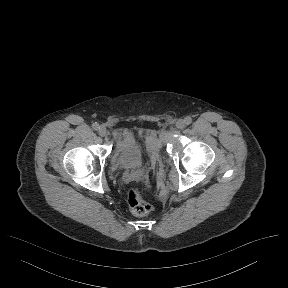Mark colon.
Returning <instances> with one entry per match:
<instances>
[{"mask_svg":"<svg viewBox=\"0 0 288 288\" xmlns=\"http://www.w3.org/2000/svg\"><path fill=\"white\" fill-rule=\"evenodd\" d=\"M127 204L130 210L138 216L147 215L151 211L150 204L143 198L142 192L138 188L129 189Z\"/></svg>","mask_w":288,"mask_h":288,"instance_id":"obj_1","label":"colon"}]
</instances>
